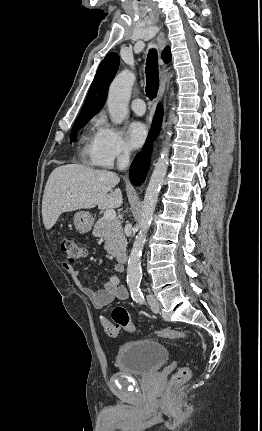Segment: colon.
Wrapping results in <instances>:
<instances>
[{
  "mask_svg": "<svg viewBox=\"0 0 262 431\" xmlns=\"http://www.w3.org/2000/svg\"><path fill=\"white\" fill-rule=\"evenodd\" d=\"M61 249L64 253V263L73 264L85 256V245L72 237H65L61 240ZM113 322L106 318L101 319V324L104 332L110 337H117L120 330H126L130 333H135L136 328L131 321L130 314L125 307L118 306L112 312ZM157 335L165 338L180 339L195 346L193 338L184 331H179L171 328L159 329L156 331ZM191 377V370L189 367H182L174 373L170 380L172 386L180 385L188 381Z\"/></svg>",
  "mask_w": 262,
  "mask_h": 431,
  "instance_id": "colon-1",
  "label": "colon"
}]
</instances>
